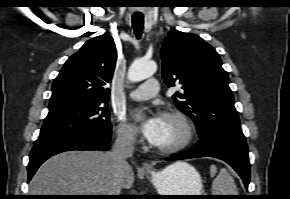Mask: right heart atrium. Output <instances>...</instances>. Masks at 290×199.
Segmentation results:
<instances>
[{
	"instance_id": "d8ad5b80",
	"label": "right heart atrium",
	"mask_w": 290,
	"mask_h": 199,
	"mask_svg": "<svg viewBox=\"0 0 290 199\" xmlns=\"http://www.w3.org/2000/svg\"><path fill=\"white\" fill-rule=\"evenodd\" d=\"M115 132L118 141L122 144L134 146L138 143L136 131L121 117L117 118Z\"/></svg>"
}]
</instances>
